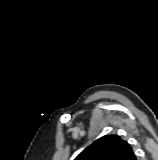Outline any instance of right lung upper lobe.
<instances>
[{
	"label": "right lung upper lobe",
	"instance_id": "obj_1",
	"mask_svg": "<svg viewBox=\"0 0 158 160\" xmlns=\"http://www.w3.org/2000/svg\"><path fill=\"white\" fill-rule=\"evenodd\" d=\"M75 160H136V156L126 141L107 135L94 141Z\"/></svg>",
	"mask_w": 158,
	"mask_h": 160
}]
</instances>
